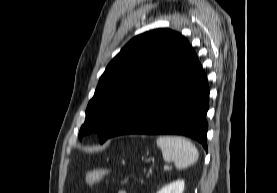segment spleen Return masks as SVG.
<instances>
[{"instance_id":"spleen-1","label":"spleen","mask_w":277,"mask_h":193,"mask_svg":"<svg viewBox=\"0 0 277 193\" xmlns=\"http://www.w3.org/2000/svg\"><path fill=\"white\" fill-rule=\"evenodd\" d=\"M157 146L162 150L166 162L174 161L177 169H184L197 162V148L186 138L179 136H160Z\"/></svg>"}]
</instances>
